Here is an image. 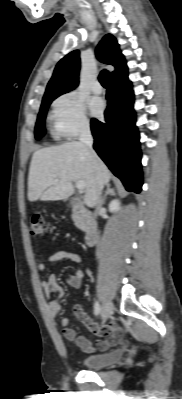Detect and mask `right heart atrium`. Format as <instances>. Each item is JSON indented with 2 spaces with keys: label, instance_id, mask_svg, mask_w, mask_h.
Segmentation results:
<instances>
[{
  "label": "right heart atrium",
  "instance_id": "right-heart-atrium-1",
  "mask_svg": "<svg viewBox=\"0 0 182 399\" xmlns=\"http://www.w3.org/2000/svg\"><path fill=\"white\" fill-rule=\"evenodd\" d=\"M51 117L54 133L59 138L76 137L90 127L85 102L75 91L66 92L54 100Z\"/></svg>",
  "mask_w": 182,
  "mask_h": 399
}]
</instances>
